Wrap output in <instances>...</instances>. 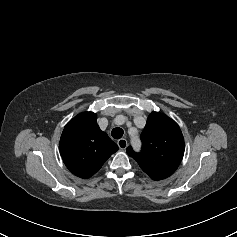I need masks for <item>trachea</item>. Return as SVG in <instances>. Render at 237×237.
I'll return each mask as SVG.
<instances>
[{
  "label": "trachea",
  "mask_w": 237,
  "mask_h": 237,
  "mask_svg": "<svg viewBox=\"0 0 237 237\" xmlns=\"http://www.w3.org/2000/svg\"><path fill=\"white\" fill-rule=\"evenodd\" d=\"M124 134V131L122 128H114L111 132V135L114 139H120Z\"/></svg>",
  "instance_id": "obj_1"
}]
</instances>
